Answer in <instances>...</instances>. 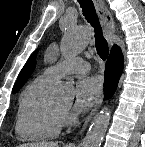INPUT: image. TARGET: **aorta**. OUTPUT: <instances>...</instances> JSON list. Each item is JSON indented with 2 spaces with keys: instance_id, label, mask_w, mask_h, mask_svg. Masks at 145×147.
<instances>
[{
  "instance_id": "aorta-1",
  "label": "aorta",
  "mask_w": 145,
  "mask_h": 147,
  "mask_svg": "<svg viewBox=\"0 0 145 147\" xmlns=\"http://www.w3.org/2000/svg\"><path fill=\"white\" fill-rule=\"evenodd\" d=\"M91 40L90 31L83 26H69L64 32L61 42V52L65 57H72L84 50ZM70 85L60 83L54 91L58 98H64L70 93ZM110 122V110L102 109L93 119L82 147H100L106 129Z\"/></svg>"
}]
</instances>
